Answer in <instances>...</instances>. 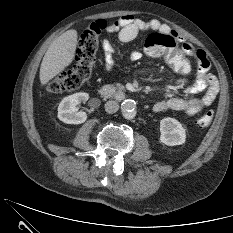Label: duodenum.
Segmentation results:
<instances>
[{
	"label": "duodenum",
	"mask_w": 233,
	"mask_h": 233,
	"mask_svg": "<svg viewBox=\"0 0 233 233\" xmlns=\"http://www.w3.org/2000/svg\"><path fill=\"white\" fill-rule=\"evenodd\" d=\"M101 97L105 99H111L115 97H123L125 96V92L121 89H117L110 85H103L98 90Z\"/></svg>",
	"instance_id": "obj_1"
}]
</instances>
